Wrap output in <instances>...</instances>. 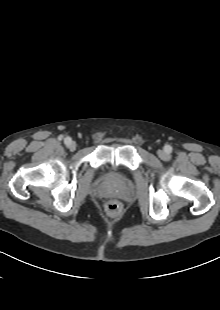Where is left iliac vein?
<instances>
[{
    "label": "left iliac vein",
    "mask_w": 220,
    "mask_h": 310,
    "mask_svg": "<svg viewBox=\"0 0 220 310\" xmlns=\"http://www.w3.org/2000/svg\"><path fill=\"white\" fill-rule=\"evenodd\" d=\"M158 156L162 159V160H168L169 159V154L164 151V150H159L158 152Z\"/></svg>",
    "instance_id": "obj_1"
}]
</instances>
